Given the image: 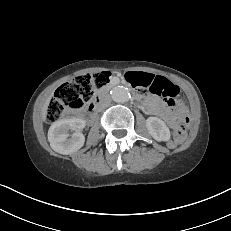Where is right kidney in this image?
<instances>
[{
	"label": "right kidney",
	"instance_id": "1",
	"mask_svg": "<svg viewBox=\"0 0 231 231\" xmlns=\"http://www.w3.org/2000/svg\"><path fill=\"white\" fill-rule=\"evenodd\" d=\"M85 122L82 119L71 118L55 121L48 131V140L51 148L60 154H71L79 150L85 142L82 133ZM69 130L75 131L71 138L67 133Z\"/></svg>",
	"mask_w": 231,
	"mask_h": 231
}]
</instances>
